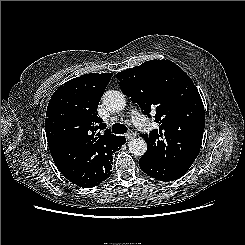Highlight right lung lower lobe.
I'll use <instances>...</instances> for the list:
<instances>
[{
	"mask_svg": "<svg viewBox=\"0 0 245 245\" xmlns=\"http://www.w3.org/2000/svg\"><path fill=\"white\" fill-rule=\"evenodd\" d=\"M125 143V138L122 136L118 141L111 145H106L95 149L94 156L90 161L91 168L97 173V180L93 186L100 184L111 175L112 169V154L116 150H120ZM60 172L72 183L81 186L82 182L79 173L73 166H57ZM86 186V188L93 187Z\"/></svg>",
	"mask_w": 245,
	"mask_h": 245,
	"instance_id": "1",
	"label": "right lung lower lobe"
}]
</instances>
